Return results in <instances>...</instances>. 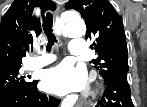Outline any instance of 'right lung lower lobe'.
<instances>
[{"instance_id":"right-lung-lower-lobe-1","label":"right lung lower lobe","mask_w":147,"mask_h":107,"mask_svg":"<svg viewBox=\"0 0 147 107\" xmlns=\"http://www.w3.org/2000/svg\"><path fill=\"white\" fill-rule=\"evenodd\" d=\"M37 83L0 96V107H57L60 100L38 92Z\"/></svg>"}]
</instances>
